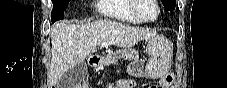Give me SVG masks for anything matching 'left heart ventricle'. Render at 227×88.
Segmentation results:
<instances>
[{"label":"left heart ventricle","instance_id":"obj_1","mask_svg":"<svg viewBox=\"0 0 227 88\" xmlns=\"http://www.w3.org/2000/svg\"><path fill=\"white\" fill-rule=\"evenodd\" d=\"M138 11L140 16L145 19H152L157 14V9L150 0H141Z\"/></svg>","mask_w":227,"mask_h":88}]
</instances>
